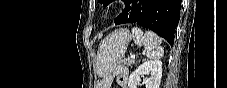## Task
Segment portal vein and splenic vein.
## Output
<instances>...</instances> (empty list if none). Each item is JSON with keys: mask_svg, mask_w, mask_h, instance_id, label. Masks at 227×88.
<instances>
[{"mask_svg": "<svg viewBox=\"0 0 227 88\" xmlns=\"http://www.w3.org/2000/svg\"><path fill=\"white\" fill-rule=\"evenodd\" d=\"M136 57V55L135 54H131V58H135Z\"/></svg>", "mask_w": 227, "mask_h": 88, "instance_id": "obj_1", "label": "portal vein and splenic vein"}]
</instances>
